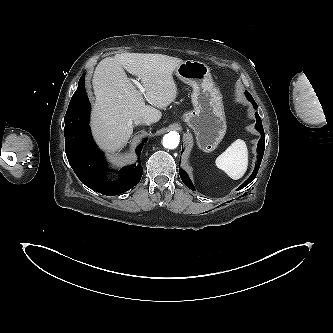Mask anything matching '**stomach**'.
I'll return each instance as SVG.
<instances>
[{
  "instance_id": "1",
  "label": "stomach",
  "mask_w": 333,
  "mask_h": 333,
  "mask_svg": "<svg viewBox=\"0 0 333 333\" xmlns=\"http://www.w3.org/2000/svg\"><path fill=\"white\" fill-rule=\"evenodd\" d=\"M177 77L193 88L194 109L184 113V122L194 131L200 149L213 151L226 133L222 95L215 86L210 68L205 63L186 60L176 70Z\"/></svg>"
}]
</instances>
